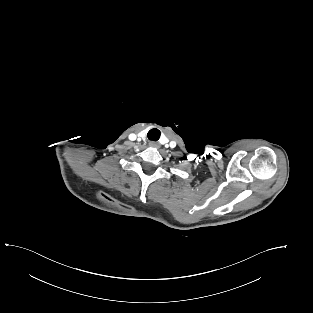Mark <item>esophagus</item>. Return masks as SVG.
Wrapping results in <instances>:
<instances>
[{"label": "esophagus", "instance_id": "1", "mask_svg": "<svg viewBox=\"0 0 313 313\" xmlns=\"http://www.w3.org/2000/svg\"><path fill=\"white\" fill-rule=\"evenodd\" d=\"M149 146H151V147H159V144L157 142L150 141L149 142Z\"/></svg>", "mask_w": 313, "mask_h": 313}]
</instances>
